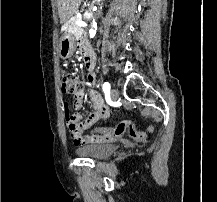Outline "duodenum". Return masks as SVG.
Segmentation results:
<instances>
[{
    "mask_svg": "<svg viewBox=\"0 0 217 202\" xmlns=\"http://www.w3.org/2000/svg\"><path fill=\"white\" fill-rule=\"evenodd\" d=\"M81 56L88 72L93 74L95 57L93 52L85 45V43L81 44Z\"/></svg>",
    "mask_w": 217,
    "mask_h": 202,
    "instance_id": "duodenum-1",
    "label": "duodenum"
}]
</instances>
